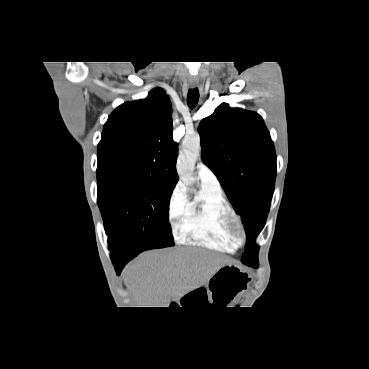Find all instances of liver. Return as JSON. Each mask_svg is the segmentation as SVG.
I'll use <instances>...</instances> for the list:
<instances>
[{
    "label": "liver",
    "instance_id": "liver-1",
    "mask_svg": "<svg viewBox=\"0 0 369 369\" xmlns=\"http://www.w3.org/2000/svg\"><path fill=\"white\" fill-rule=\"evenodd\" d=\"M225 263L223 256L199 248L152 250L128 264L123 278L136 307H169L171 300L206 284Z\"/></svg>",
    "mask_w": 369,
    "mask_h": 369
}]
</instances>
